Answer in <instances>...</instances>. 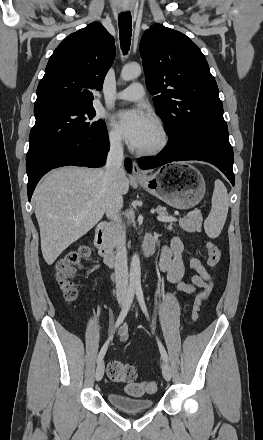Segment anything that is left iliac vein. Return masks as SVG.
<instances>
[{
    "mask_svg": "<svg viewBox=\"0 0 263 440\" xmlns=\"http://www.w3.org/2000/svg\"><path fill=\"white\" fill-rule=\"evenodd\" d=\"M161 368H162V374H163V377L165 378V380L166 381H170L171 375H172V371H171V367L168 364V362L167 361H163L162 365H161Z\"/></svg>",
    "mask_w": 263,
    "mask_h": 440,
    "instance_id": "1",
    "label": "left iliac vein"
}]
</instances>
